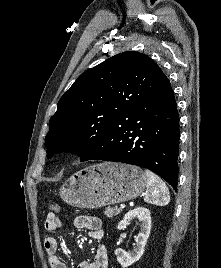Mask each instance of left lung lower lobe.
I'll list each match as a JSON object with an SVG mask.
<instances>
[{
  "instance_id": "left-lung-lower-lobe-1",
  "label": "left lung lower lobe",
  "mask_w": 221,
  "mask_h": 268,
  "mask_svg": "<svg viewBox=\"0 0 221 268\" xmlns=\"http://www.w3.org/2000/svg\"><path fill=\"white\" fill-rule=\"evenodd\" d=\"M179 114L169 84L119 117L88 160L148 168L177 189Z\"/></svg>"
}]
</instances>
